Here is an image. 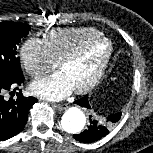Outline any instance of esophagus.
Instances as JSON below:
<instances>
[{
  "label": "esophagus",
  "instance_id": "1",
  "mask_svg": "<svg viewBox=\"0 0 153 153\" xmlns=\"http://www.w3.org/2000/svg\"><path fill=\"white\" fill-rule=\"evenodd\" d=\"M52 106L59 111L66 109V104H53Z\"/></svg>",
  "mask_w": 153,
  "mask_h": 153
}]
</instances>
